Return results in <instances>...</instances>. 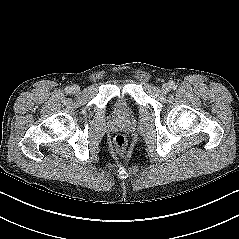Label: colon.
I'll use <instances>...</instances> for the list:
<instances>
[{
	"label": "colon",
	"mask_w": 239,
	"mask_h": 239,
	"mask_svg": "<svg viewBox=\"0 0 239 239\" xmlns=\"http://www.w3.org/2000/svg\"><path fill=\"white\" fill-rule=\"evenodd\" d=\"M115 149L119 152L125 151L127 147V140L123 135H117L114 139Z\"/></svg>",
	"instance_id": "obj_1"
}]
</instances>
